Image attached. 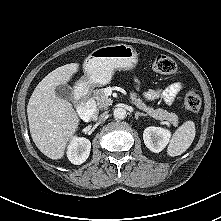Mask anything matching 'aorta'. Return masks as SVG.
<instances>
[{"label":"aorta","instance_id":"aorta-1","mask_svg":"<svg viewBox=\"0 0 221 221\" xmlns=\"http://www.w3.org/2000/svg\"><path fill=\"white\" fill-rule=\"evenodd\" d=\"M113 116L115 119H124L127 116L126 110L124 108H115L113 111Z\"/></svg>","mask_w":221,"mask_h":221}]
</instances>
